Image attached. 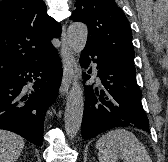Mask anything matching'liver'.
Returning a JSON list of instances; mask_svg holds the SVG:
<instances>
[{"mask_svg":"<svg viewBox=\"0 0 168 162\" xmlns=\"http://www.w3.org/2000/svg\"><path fill=\"white\" fill-rule=\"evenodd\" d=\"M25 142L13 132L0 130V162H15L21 155Z\"/></svg>","mask_w":168,"mask_h":162,"instance_id":"6515ba94","label":"liver"}]
</instances>
